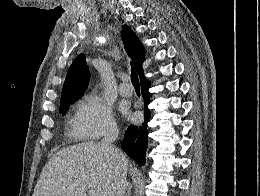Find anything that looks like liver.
Masks as SVG:
<instances>
[{
	"label": "liver",
	"instance_id": "1",
	"mask_svg": "<svg viewBox=\"0 0 260 196\" xmlns=\"http://www.w3.org/2000/svg\"><path fill=\"white\" fill-rule=\"evenodd\" d=\"M116 150L124 156L121 150ZM119 166L100 142L61 148L45 164L33 196H87V190L111 196ZM127 170L128 160L125 174Z\"/></svg>",
	"mask_w": 260,
	"mask_h": 196
}]
</instances>
